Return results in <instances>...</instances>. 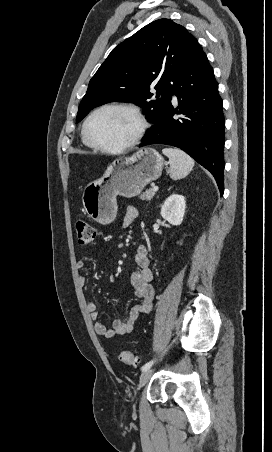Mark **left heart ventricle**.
<instances>
[{"instance_id": "obj_1", "label": "left heart ventricle", "mask_w": 272, "mask_h": 452, "mask_svg": "<svg viewBox=\"0 0 272 452\" xmlns=\"http://www.w3.org/2000/svg\"><path fill=\"white\" fill-rule=\"evenodd\" d=\"M137 122L128 113L117 109H108L98 113L90 122L89 132L99 143L119 147L134 136Z\"/></svg>"}]
</instances>
